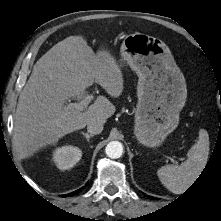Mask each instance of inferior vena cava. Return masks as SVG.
<instances>
[{"mask_svg": "<svg viewBox=\"0 0 221 221\" xmlns=\"http://www.w3.org/2000/svg\"><path fill=\"white\" fill-rule=\"evenodd\" d=\"M103 130V122L99 120H92L87 124V131L92 134H100Z\"/></svg>", "mask_w": 221, "mask_h": 221, "instance_id": "602c4592", "label": "inferior vena cava"}]
</instances>
